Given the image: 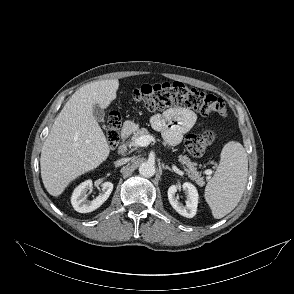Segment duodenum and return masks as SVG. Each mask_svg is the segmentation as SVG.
<instances>
[{"mask_svg": "<svg viewBox=\"0 0 294 294\" xmlns=\"http://www.w3.org/2000/svg\"><path fill=\"white\" fill-rule=\"evenodd\" d=\"M134 131V123L132 121H125L121 129V140L124 142ZM119 154L126 155L127 147L124 143L119 145L118 148Z\"/></svg>", "mask_w": 294, "mask_h": 294, "instance_id": "duodenum-1", "label": "duodenum"}]
</instances>
